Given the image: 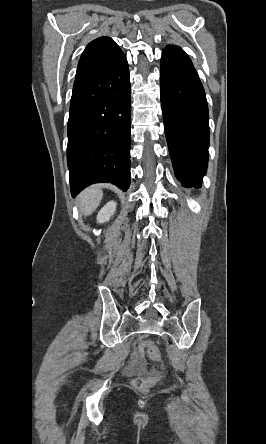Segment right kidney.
Returning a JSON list of instances; mask_svg holds the SVG:
<instances>
[{
	"mask_svg": "<svg viewBox=\"0 0 266 444\" xmlns=\"http://www.w3.org/2000/svg\"><path fill=\"white\" fill-rule=\"evenodd\" d=\"M116 202L110 201L108 202L99 212L97 215V222L98 223H105L110 220L111 216L116 211Z\"/></svg>",
	"mask_w": 266,
	"mask_h": 444,
	"instance_id": "ca27d5eb",
	"label": "right kidney"
}]
</instances>
